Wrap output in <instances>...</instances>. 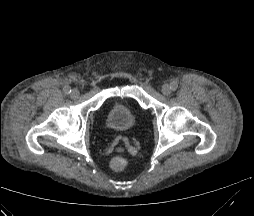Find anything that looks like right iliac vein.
<instances>
[{"instance_id":"obj_1","label":"right iliac vein","mask_w":254,"mask_h":216,"mask_svg":"<svg viewBox=\"0 0 254 216\" xmlns=\"http://www.w3.org/2000/svg\"><path fill=\"white\" fill-rule=\"evenodd\" d=\"M79 96V91L77 89H73L71 91V97L72 98H77Z\"/></svg>"}]
</instances>
